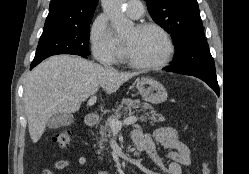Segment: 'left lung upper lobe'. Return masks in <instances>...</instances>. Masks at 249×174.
<instances>
[{
  "mask_svg": "<svg viewBox=\"0 0 249 174\" xmlns=\"http://www.w3.org/2000/svg\"><path fill=\"white\" fill-rule=\"evenodd\" d=\"M152 19L171 34L178 71L215 70L196 0H146Z\"/></svg>",
  "mask_w": 249,
  "mask_h": 174,
  "instance_id": "1",
  "label": "left lung upper lobe"
}]
</instances>
